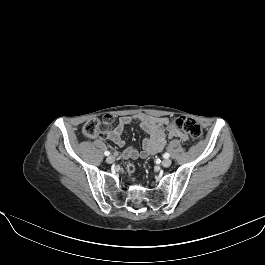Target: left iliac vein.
<instances>
[{"instance_id": "4c4485c4", "label": "left iliac vein", "mask_w": 265, "mask_h": 265, "mask_svg": "<svg viewBox=\"0 0 265 265\" xmlns=\"http://www.w3.org/2000/svg\"><path fill=\"white\" fill-rule=\"evenodd\" d=\"M172 164V161L170 159H164L162 161V166L163 167H169Z\"/></svg>"}]
</instances>
